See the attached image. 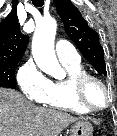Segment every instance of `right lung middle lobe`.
Returning <instances> with one entry per match:
<instances>
[{
    "label": "right lung middle lobe",
    "instance_id": "obj_1",
    "mask_svg": "<svg viewBox=\"0 0 117 136\" xmlns=\"http://www.w3.org/2000/svg\"><path fill=\"white\" fill-rule=\"evenodd\" d=\"M17 62H0V88H16L15 67Z\"/></svg>",
    "mask_w": 117,
    "mask_h": 136
}]
</instances>
